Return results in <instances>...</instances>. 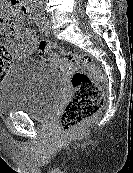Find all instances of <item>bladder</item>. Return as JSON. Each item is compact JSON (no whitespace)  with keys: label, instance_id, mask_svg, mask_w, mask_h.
I'll return each mask as SVG.
<instances>
[{"label":"bladder","instance_id":"bladder-1","mask_svg":"<svg viewBox=\"0 0 133 173\" xmlns=\"http://www.w3.org/2000/svg\"><path fill=\"white\" fill-rule=\"evenodd\" d=\"M64 90L55 66L32 58L17 60L0 82V114L23 112L47 122L54 116Z\"/></svg>","mask_w":133,"mask_h":173}]
</instances>
